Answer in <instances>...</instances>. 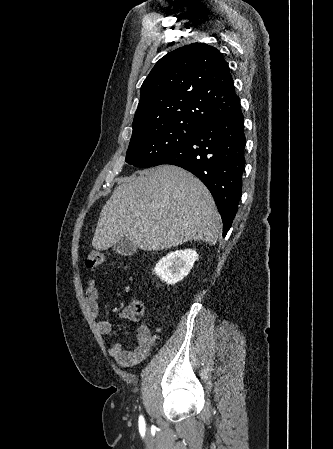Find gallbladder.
Returning <instances> with one entry per match:
<instances>
[{
  "instance_id": "gallbladder-1",
  "label": "gallbladder",
  "mask_w": 333,
  "mask_h": 449,
  "mask_svg": "<svg viewBox=\"0 0 333 449\" xmlns=\"http://www.w3.org/2000/svg\"><path fill=\"white\" fill-rule=\"evenodd\" d=\"M138 247L127 237H122L113 250L121 256H129L137 251Z\"/></svg>"
}]
</instances>
